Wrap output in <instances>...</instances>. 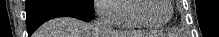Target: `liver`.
Segmentation results:
<instances>
[{"instance_id":"1","label":"liver","mask_w":219,"mask_h":37,"mask_svg":"<svg viewBox=\"0 0 219 37\" xmlns=\"http://www.w3.org/2000/svg\"><path fill=\"white\" fill-rule=\"evenodd\" d=\"M93 25L75 18L61 17L44 23L33 37H94ZM112 37H129L127 33H112ZM111 37V36H110Z\"/></svg>"}]
</instances>
